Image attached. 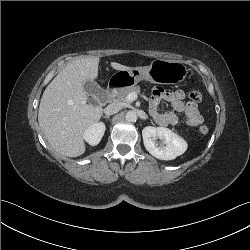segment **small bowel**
<instances>
[{
    "label": "small bowel",
    "mask_w": 250,
    "mask_h": 250,
    "mask_svg": "<svg viewBox=\"0 0 250 250\" xmlns=\"http://www.w3.org/2000/svg\"><path fill=\"white\" fill-rule=\"evenodd\" d=\"M186 93L183 90H165L156 88L152 92L149 103L150 113L153 119L160 125H178L179 118L176 112L184 114L183 124L186 127L194 128L203 122L197 105L194 102L185 101ZM162 101L168 102L174 111L160 112L159 106Z\"/></svg>",
    "instance_id": "small-bowel-1"
}]
</instances>
